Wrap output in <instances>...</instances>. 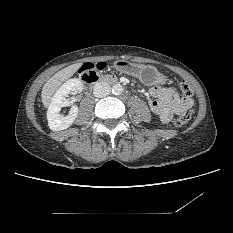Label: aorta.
I'll return each mask as SVG.
<instances>
[{
	"mask_svg": "<svg viewBox=\"0 0 233 233\" xmlns=\"http://www.w3.org/2000/svg\"><path fill=\"white\" fill-rule=\"evenodd\" d=\"M112 92L115 95H120L123 92V87L120 84H116L113 86Z\"/></svg>",
	"mask_w": 233,
	"mask_h": 233,
	"instance_id": "obj_1",
	"label": "aorta"
}]
</instances>
